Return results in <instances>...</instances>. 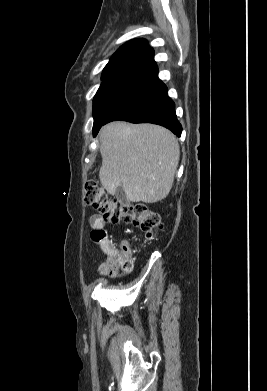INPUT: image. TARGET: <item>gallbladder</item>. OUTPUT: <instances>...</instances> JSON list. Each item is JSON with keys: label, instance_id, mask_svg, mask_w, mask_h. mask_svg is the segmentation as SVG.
<instances>
[{"label": "gallbladder", "instance_id": "gallbladder-1", "mask_svg": "<svg viewBox=\"0 0 267 391\" xmlns=\"http://www.w3.org/2000/svg\"><path fill=\"white\" fill-rule=\"evenodd\" d=\"M115 196L121 203H127L128 201L126 194L121 186L116 189Z\"/></svg>", "mask_w": 267, "mask_h": 391}]
</instances>
